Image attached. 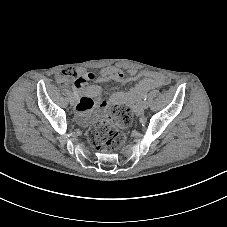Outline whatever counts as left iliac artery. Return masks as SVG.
Instances as JSON below:
<instances>
[{"mask_svg":"<svg viewBox=\"0 0 227 227\" xmlns=\"http://www.w3.org/2000/svg\"><path fill=\"white\" fill-rule=\"evenodd\" d=\"M143 99L146 101V100L148 99V95L145 94V95L143 96Z\"/></svg>","mask_w":227,"mask_h":227,"instance_id":"obj_1","label":"left iliac artery"}]
</instances>
